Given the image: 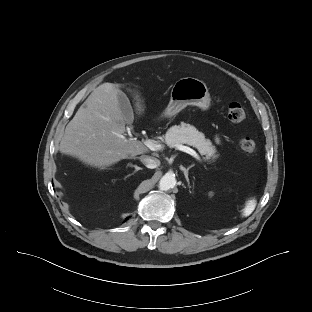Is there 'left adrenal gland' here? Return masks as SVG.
I'll list each match as a JSON object with an SVG mask.
<instances>
[{
  "label": "left adrenal gland",
  "mask_w": 312,
  "mask_h": 312,
  "mask_svg": "<svg viewBox=\"0 0 312 312\" xmlns=\"http://www.w3.org/2000/svg\"><path fill=\"white\" fill-rule=\"evenodd\" d=\"M194 165H190L187 169L183 166H180V169L184 172V175H185V178L189 184V177H188V172H189V169H191Z\"/></svg>",
  "instance_id": "left-adrenal-gland-1"
}]
</instances>
